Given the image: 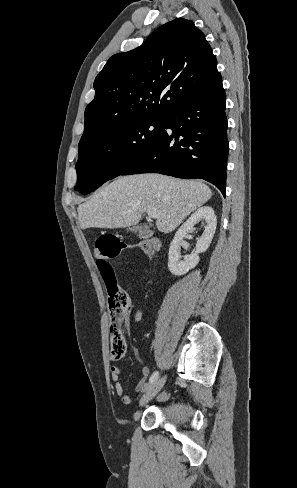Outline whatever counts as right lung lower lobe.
Returning <instances> with one entry per match:
<instances>
[{
  "mask_svg": "<svg viewBox=\"0 0 297 488\" xmlns=\"http://www.w3.org/2000/svg\"><path fill=\"white\" fill-rule=\"evenodd\" d=\"M221 79L166 117L157 139L121 175L160 173L214 184L225 197L228 156Z\"/></svg>",
  "mask_w": 297,
  "mask_h": 488,
  "instance_id": "right-lung-lower-lobe-1",
  "label": "right lung lower lobe"
}]
</instances>
